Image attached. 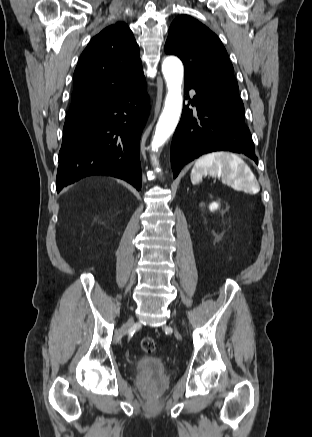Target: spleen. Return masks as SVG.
I'll use <instances>...</instances> for the list:
<instances>
[{
    "label": "spleen",
    "instance_id": "spleen-1",
    "mask_svg": "<svg viewBox=\"0 0 312 437\" xmlns=\"http://www.w3.org/2000/svg\"><path fill=\"white\" fill-rule=\"evenodd\" d=\"M205 174L221 176L223 182L234 184L245 192L257 193L260 190L253 172L236 154L213 152L200 157L191 171L192 183H200Z\"/></svg>",
    "mask_w": 312,
    "mask_h": 437
}]
</instances>
